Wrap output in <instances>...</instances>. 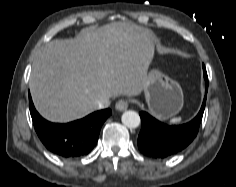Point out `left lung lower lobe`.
Returning a JSON list of instances; mask_svg holds the SVG:
<instances>
[{
	"label": "left lung lower lobe",
	"mask_w": 236,
	"mask_h": 187,
	"mask_svg": "<svg viewBox=\"0 0 236 187\" xmlns=\"http://www.w3.org/2000/svg\"><path fill=\"white\" fill-rule=\"evenodd\" d=\"M205 72V67L203 65ZM208 81H206V92ZM206 103L204 97L201 109L197 116L183 125L169 126L153 118L147 112H140L141 131L138 136V148L148 157L166 158L187 147L196 137L203 117Z\"/></svg>",
	"instance_id": "1"
}]
</instances>
